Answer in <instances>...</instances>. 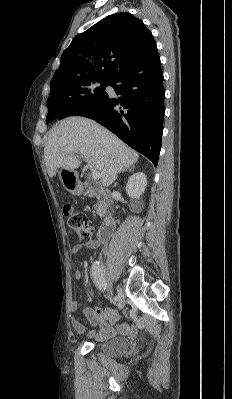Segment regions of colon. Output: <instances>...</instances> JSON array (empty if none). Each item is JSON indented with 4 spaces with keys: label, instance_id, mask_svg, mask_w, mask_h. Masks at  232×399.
<instances>
[{
    "label": "colon",
    "instance_id": "1",
    "mask_svg": "<svg viewBox=\"0 0 232 399\" xmlns=\"http://www.w3.org/2000/svg\"><path fill=\"white\" fill-rule=\"evenodd\" d=\"M64 207L63 212L65 213V220H68V228L77 232L81 244H90L92 222H86L88 215H76V204L70 201V198H65ZM82 227L86 228L82 230Z\"/></svg>",
    "mask_w": 232,
    "mask_h": 399
}]
</instances>
